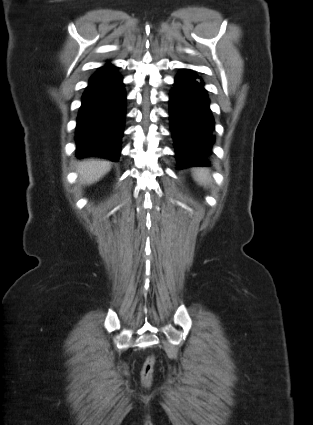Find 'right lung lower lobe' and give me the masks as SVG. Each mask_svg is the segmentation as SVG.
I'll use <instances>...</instances> for the list:
<instances>
[{
	"instance_id": "1",
	"label": "right lung lower lobe",
	"mask_w": 313,
	"mask_h": 425,
	"mask_svg": "<svg viewBox=\"0 0 313 425\" xmlns=\"http://www.w3.org/2000/svg\"><path fill=\"white\" fill-rule=\"evenodd\" d=\"M126 113L122 77L106 64L90 78L76 126L77 157L118 161Z\"/></svg>"
}]
</instances>
